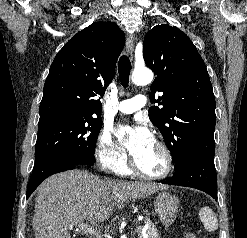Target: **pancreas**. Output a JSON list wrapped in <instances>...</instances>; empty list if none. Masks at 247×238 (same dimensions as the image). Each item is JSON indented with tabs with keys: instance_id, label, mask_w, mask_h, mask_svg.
Listing matches in <instances>:
<instances>
[{
	"instance_id": "cf45deb5",
	"label": "pancreas",
	"mask_w": 247,
	"mask_h": 238,
	"mask_svg": "<svg viewBox=\"0 0 247 238\" xmlns=\"http://www.w3.org/2000/svg\"><path fill=\"white\" fill-rule=\"evenodd\" d=\"M146 223L149 225L146 230V237L145 238H160L157 228L155 227L154 223L150 220H147ZM139 238H144L141 234Z\"/></svg>"
}]
</instances>
